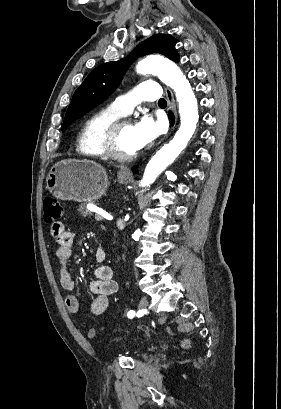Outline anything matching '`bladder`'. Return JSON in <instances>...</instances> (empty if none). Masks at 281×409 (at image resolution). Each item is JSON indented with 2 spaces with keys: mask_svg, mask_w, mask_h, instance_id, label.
Here are the masks:
<instances>
[{
  "mask_svg": "<svg viewBox=\"0 0 281 409\" xmlns=\"http://www.w3.org/2000/svg\"><path fill=\"white\" fill-rule=\"evenodd\" d=\"M112 349L115 352H128L132 356L143 353V349L140 346H133L126 338L118 339Z\"/></svg>",
  "mask_w": 281,
  "mask_h": 409,
  "instance_id": "obj_1",
  "label": "bladder"
}]
</instances>
